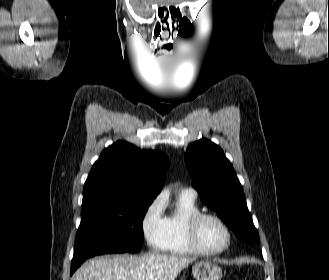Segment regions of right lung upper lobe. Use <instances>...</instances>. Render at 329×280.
<instances>
[{
  "instance_id": "right-lung-upper-lobe-1",
  "label": "right lung upper lobe",
  "mask_w": 329,
  "mask_h": 280,
  "mask_svg": "<svg viewBox=\"0 0 329 280\" xmlns=\"http://www.w3.org/2000/svg\"><path fill=\"white\" fill-rule=\"evenodd\" d=\"M169 166L160 151L141 150L125 141L104 149L84 185L82 208L118 197L155 198Z\"/></svg>"
}]
</instances>
